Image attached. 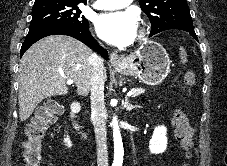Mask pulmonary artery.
<instances>
[{
    "label": "pulmonary artery",
    "instance_id": "obj_1",
    "mask_svg": "<svg viewBox=\"0 0 227 166\" xmlns=\"http://www.w3.org/2000/svg\"><path fill=\"white\" fill-rule=\"evenodd\" d=\"M133 0H96L94 7L98 10H115L128 6Z\"/></svg>",
    "mask_w": 227,
    "mask_h": 166
}]
</instances>
